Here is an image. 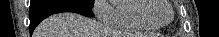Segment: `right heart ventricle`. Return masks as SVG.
Masks as SVG:
<instances>
[{"instance_id": "right-heart-ventricle-1", "label": "right heart ventricle", "mask_w": 219, "mask_h": 37, "mask_svg": "<svg viewBox=\"0 0 219 37\" xmlns=\"http://www.w3.org/2000/svg\"><path fill=\"white\" fill-rule=\"evenodd\" d=\"M142 0H120L115 8L112 25L121 29L154 32L158 28L149 25L140 16Z\"/></svg>"}]
</instances>
